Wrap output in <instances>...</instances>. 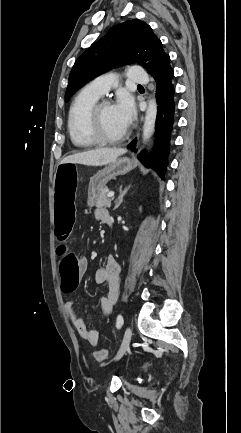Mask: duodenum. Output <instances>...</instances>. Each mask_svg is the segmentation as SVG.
I'll return each mask as SVG.
<instances>
[{"mask_svg":"<svg viewBox=\"0 0 241 433\" xmlns=\"http://www.w3.org/2000/svg\"><path fill=\"white\" fill-rule=\"evenodd\" d=\"M105 223H106L108 226H111V225H112V219H111V216L105 218Z\"/></svg>","mask_w":241,"mask_h":433,"instance_id":"410a0bca","label":"duodenum"}]
</instances>
